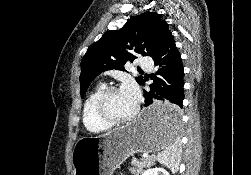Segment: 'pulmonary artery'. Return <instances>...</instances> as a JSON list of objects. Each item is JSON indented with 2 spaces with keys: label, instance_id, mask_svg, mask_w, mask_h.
<instances>
[{
  "label": "pulmonary artery",
  "instance_id": "1",
  "mask_svg": "<svg viewBox=\"0 0 251 175\" xmlns=\"http://www.w3.org/2000/svg\"><path fill=\"white\" fill-rule=\"evenodd\" d=\"M140 66L142 70H153L154 69L153 58H140Z\"/></svg>",
  "mask_w": 251,
  "mask_h": 175
}]
</instances>
